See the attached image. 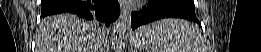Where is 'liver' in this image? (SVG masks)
<instances>
[{
    "label": "liver",
    "mask_w": 261,
    "mask_h": 52,
    "mask_svg": "<svg viewBox=\"0 0 261 52\" xmlns=\"http://www.w3.org/2000/svg\"><path fill=\"white\" fill-rule=\"evenodd\" d=\"M35 41L36 52H99L103 44L95 23L70 14L45 18Z\"/></svg>",
    "instance_id": "obj_1"
}]
</instances>
